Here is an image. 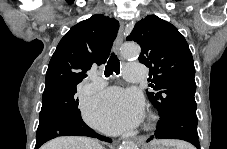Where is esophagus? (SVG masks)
Here are the masks:
<instances>
[{
  "label": "esophagus",
  "mask_w": 227,
  "mask_h": 149,
  "mask_svg": "<svg viewBox=\"0 0 227 149\" xmlns=\"http://www.w3.org/2000/svg\"><path fill=\"white\" fill-rule=\"evenodd\" d=\"M124 22H120V29L118 32V36L115 40L114 43V51L119 54L120 53V49L123 43V31H124ZM137 145H146L147 141H146V137H137V141H136Z\"/></svg>",
  "instance_id": "34e87169"
}]
</instances>
